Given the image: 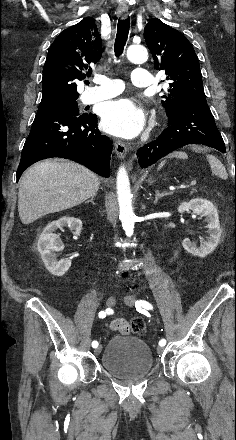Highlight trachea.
I'll return each instance as SVG.
<instances>
[{
	"label": "trachea",
	"mask_w": 236,
	"mask_h": 440,
	"mask_svg": "<svg viewBox=\"0 0 236 440\" xmlns=\"http://www.w3.org/2000/svg\"><path fill=\"white\" fill-rule=\"evenodd\" d=\"M129 28H130V18L126 19H119L117 24V34H116V40L114 45V51L116 57L121 56L123 53L124 46L126 44L128 34H129Z\"/></svg>",
	"instance_id": "3493384b"
}]
</instances>
